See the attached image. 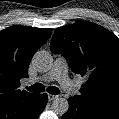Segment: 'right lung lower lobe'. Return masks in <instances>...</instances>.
<instances>
[{
    "instance_id": "obj_1",
    "label": "right lung lower lobe",
    "mask_w": 119,
    "mask_h": 119,
    "mask_svg": "<svg viewBox=\"0 0 119 119\" xmlns=\"http://www.w3.org/2000/svg\"><path fill=\"white\" fill-rule=\"evenodd\" d=\"M46 103H47V94H40L39 101L33 112L28 117V119H38V116L45 108Z\"/></svg>"
}]
</instances>
